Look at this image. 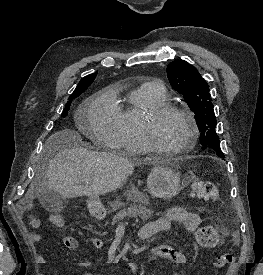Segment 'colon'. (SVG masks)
Segmentation results:
<instances>
[{
	"mask_svg": "<svg viewBox=\"0 0 263 275\" xmlns=\"http://www.w3.org/2000/svg\"><path fill=\"white\" fill-rule=\"evenodd\" d=\"M193 194L207 202H217L219 200V191L217 186L209 180H196L192 184ZM53 223L58 224L61 221V217L56 215L52 218ZM197 241L202 247H214L221 242V235L219 231L212 227L207 226L200 229L197 235ZM233 262V256L230 254H223L216 259L214 266L222 268Z\"/></svg>",
	"mask_w": 263,
	"mask_h": 275,
	"instance_id": "obj_1",
	"label": "colon"
}]
</instances>
